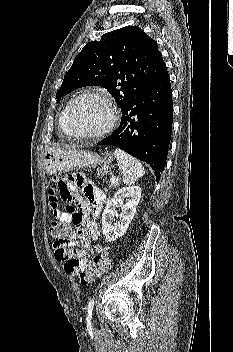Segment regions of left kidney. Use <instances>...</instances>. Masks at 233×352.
<instances>
[{
	"instance_id": "left-kidney-1",
	"label": "left kidney",
	"mask_w": 233,
	"mask_h": 352,
	"mask_svg": "<svg viewBox=\"0 0 233 352\" xmlns=\"http://www.w3.org/2000/svg\"><path fill=\"white\" fill-rule=\"evenodd\" d=\"M140 198L141 188L134 185L119 189L108 201L102 214V233L107 241H115L124 235L135 215ZM116 207H121L122 212L119 215V221L113 224Z\"/></svg>"
}]
</instances>
